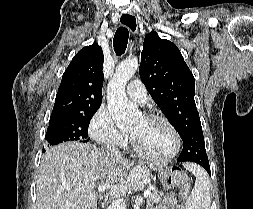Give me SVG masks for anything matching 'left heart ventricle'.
Instances as JSON below:
<instances>
[{
    "instance_id": "1",
    "label": "left heart ventricle",
    "mask_w": 253,
    "mask_h": 209,
    "mask_svg": "<svg viewBox=\"0 0 253 209\" xmlns=\"http://www.w3.org/2000/svg\"><path fill=\"white\" fill-rule=\"evenodd\" d=\"M141 148L156 157L169 154L174 148V136L170 128L159 120L139 117L130 128Z\"/></svg>"
}]
</instances>
